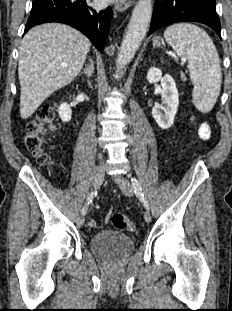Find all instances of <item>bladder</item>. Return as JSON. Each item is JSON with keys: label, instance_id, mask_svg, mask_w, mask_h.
I'll return each mask as SVG.
<instances>
[{"label": "bladder", "instance_id": "obj_1", "mask_svg": "<svg viewBox=\"0 0 232 311\" xmlns=\"http://www.w3.org/2000/svg\"><path fill=\"white\" fill-rule=\"evenodd\" d=\"M90 246L94 253L112 261L124 258L134 250V242L129 236L113 230L93 235Z\"/></svg>", "mask_w": 232, "mask_h": 311}]
</instances>
